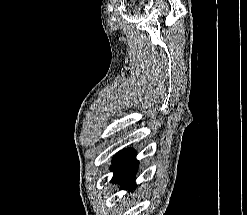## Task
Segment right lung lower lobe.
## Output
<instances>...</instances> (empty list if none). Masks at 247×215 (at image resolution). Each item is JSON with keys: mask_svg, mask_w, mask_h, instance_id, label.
<instances>
[{"mask_svg": "<svg viewBox=\"0 0 247 215\" xmlns=\"http://www.w3.org/2000/svg\"><path fill=\"white\" fill-rule=\"evenodd\" d=\"M138 161L132 149H126L114 157L111 170L114 172L113 183H120L122 189H135L134 177L137 172Z\"/></svg>", "mask_w": 247, "mask_h": 215, "instance_id": "obj_1", "label": "right lung lower lobe"}]
</instances>
